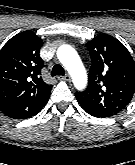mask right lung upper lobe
<instances>
[{
    "label": "right lung upper lobe",
    "instance_id": "cb5924a9",
    "mask_svg": "<svg viewBox=\"0 0 135 165\" xmlns=\"http://www.w3.org/2000/svg\"><path fill=\"white\" fill-rule=\"evenodd\" d=\"M42 45L41 38L27 30L0 51V110L7 116L32 113L48 101L52 86L41 77Z\"/></svg>",
    "mask_w": 135,
    "mask_h": 165
}]
</instances>
